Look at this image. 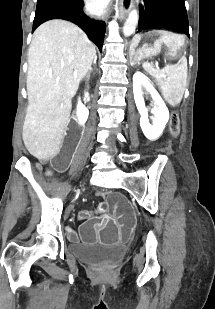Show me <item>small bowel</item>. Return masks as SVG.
Segmentation results:
<instances>
[{
  "label": "small bowel",
  "instance_id": "1",
  "mask_svg": "<svg viewBox=\"0 0 215 309\" xmlns=\"http://www.w3.org/2000/svg\"><path fill=\"white\" fill-rule=\"evenodd\" d=\"M89 213H90V216H89V217H93V216L95 215V213H97V212H95V213L89 212ZM70 238H71L72 240H75V239H76V236H75V235H71Z\"/></svg>",
  "mask_w": 215,
  "mask_h": 309
}]
</instances>
